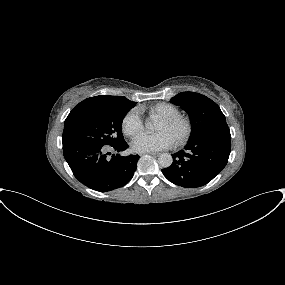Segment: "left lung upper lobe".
<instances>
[{
    "label": "left lung upper lobe",
    "instance_id": "left-lung-upper-lobe-1",
    "mask_svg": "<svg viewBox=\"0 0 285 285\" xmlns=\"http://www.w3.org/2000/svg\"><path fill=\"white\" fill-rule=\"evenodd\" d=\"M170 102L188 113L192 124L190 139L211 132L230 134L224 114L208 97L194 92H181Z\"/></svg>",
    "mask_w": 285,
    "mask_h": 285
}]
</instances>
